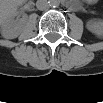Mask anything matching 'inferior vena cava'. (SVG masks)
I'll return each mask as SVG.
<instances>
[{"mask_svg": "<svg viewBox=\"0 0 103 103\" xmlns=\"http://www.w3.org/2000/svg\"><path fill=\"white\" fill-rule=\"evenodd\" d=\"M36 7H37V9L43 11V10H47L49 8V4L46 0H38L36 2Z\"/></svg>", "mask_w": 103, "mask_h": 103, "instance_id": "obj_1", "label": "inferior vena cava"}]
</instances>
